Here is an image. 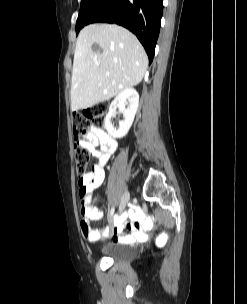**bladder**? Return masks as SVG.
Here are the masks:
<instances>
[{
  "instance_id": "1",
  "label": "bladder",
  "mask_w": 247,
  "mask_h": 304,
  "mask_svg": "<svg viewBox=\"0 0 247 304\" xmlns=\"http://www.w3.org/2000/svg\"><path fill=\"white\" fill-rule=\"evenodd\" d=\"M103 254L112 261L124 262L130 260L135 255V251L126 244L112 243L104 249Z\"/></svg>"
}]
</instances>
